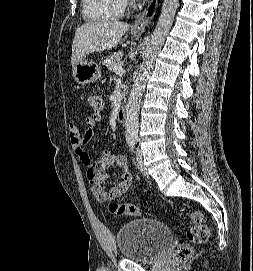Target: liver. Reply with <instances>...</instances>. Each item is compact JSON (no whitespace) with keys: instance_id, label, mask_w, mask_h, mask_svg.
Listing matches in <instances>:
<instances>
[{"instance_id":"1","label":"liver","mask_w":253,"mask_h":271,"mask_svg":"<svg viewBox=\"0 0 253 271\" xmlns=\"http://www.w3.org/2000/svg\"><path fill=\"white\" fill-rule=\"evenodd\" d=\"M129 25L120 21L86 23L79 27L73 39L71 64L90 53L110 50L120 43Z\"/></svg>"}]
</instances>
